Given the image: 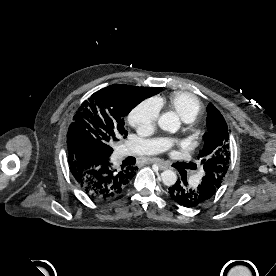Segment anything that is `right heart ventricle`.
I'll use <instances>...</instances> for the list:
<instances>
[{"label": "right heart ventricle", "instance_id": "right-heart-ventricle-1", "mask_svg": "<svg viewBox=\"0 0 276 276\" xmlns=\"http://www.w3.org/2000/svg\"><path fill=\"white\" fill-rule=\"evenodd\" d=\"M169 105L173 108L185 121L196 119L202 110L200 101L185 92H178L171 95L168 99Z\"/></svg>", "mask_w": 276, "mask_h": 276}]
</instances>
